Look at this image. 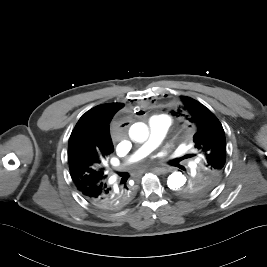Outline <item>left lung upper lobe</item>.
Segmentation results:
<instances>
[{"instance_id": "5c2ea615", "label": "left lung upper lobe", "mask_w": 267, "mask_h": 267, "mask_svg": "<svg viewBox=\"0 0 267 267\" xmlns=\"http://www.w3.org/2000/svg\"><path fill=\"white\" fill-rule=\"evenodd\" d=\"M182 113L196 126L193 136L195 148L203 155L200 172L179 193L184 197L200 196L211 192L225 171L226 139L216 116L198 101L182 97Z\"/></svg>"}]
</instances>
